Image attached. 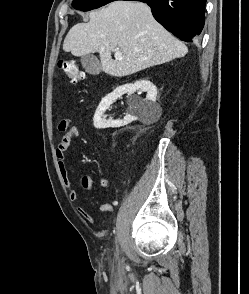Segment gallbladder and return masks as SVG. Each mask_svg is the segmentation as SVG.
<instances>
[{
  "label": "gallbladder",
  "mask_w": 249,
  "mask_h": 294,
  "mask_svg": "<svg viewBox=\"0 0 249 294\" xmlns=\"http://www.w3.org/2000/svg\"><path fill=\"white\" fill-rule=\"evenodd\" d=\"M81 64L85 71L91 75H98L101 72V64L93 54L81 56Z\"/></svg>",
  "instance_id": "bac80fb5"
}]
</instances>
